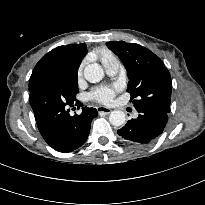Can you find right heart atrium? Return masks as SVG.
Masks as SVG:
<instances>
[{
  "label": "right heart atrium",
  "instance_id": "1",
  "mask_svg": "<svg viewBox=\"0 0 205 205\" xmlns=\"http://www.w3.org/2000/svg\"><path fill=\"white\" fill-rule=\"evenodd\" d=\"M85 63H86V59H83V60L81 61V63L79 64L78 70H77L78 76H81L82 71H83V68H84V66H85Z\"/></svg>",
  "mask_w": 205,
  "mask_h": 205
}]
</instances>
